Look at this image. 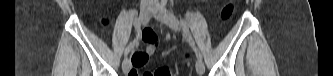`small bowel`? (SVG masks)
Here are the masks:
<instances>
[{
	"label": "small bowel",
	"mask_w": 333,
	"mask_h": 76,
	"mask_svg": "<svg viewBox=\"0 0 333 76\" xmlns=\"http://www.w3.org/2000/svg\"><path fill=\"white\" fill-rule=\"evenodd\" d=\"M104 22H105V24H109L110 20L106 19V20H104ZM141 37L144 42L148 43V46H147L145 52H138L132 56V61H133L134 67H135L134 70L137 72H138V68H141L145 65L148 56H150L154 53V51H155L154 42L159 41V33L146 31V32H142Z\"/></svg>",
	"instance_id": "obj_1"
}]
</instances>
